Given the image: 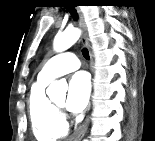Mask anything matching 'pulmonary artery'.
I'll use <instances>...</instances> for the list:
<instances>
[{
    "label": "pulmonary artery",
    "instance_id": "obj_1",
    "mask_svg": "<svg viewBox=\"0 0 155 141\" xmlns=\"http://www.w3.org/2000/svg\"><path fill=\"white\" fill-rule=\"evenodd\" d=\"M80 67L78 57L69 52H62L52 57L39 73V78L43 80H52L57 76L77 70Z\"/></svg>",
    "mask_w": 155,
    "mask_h": 141
}]
</instances>
